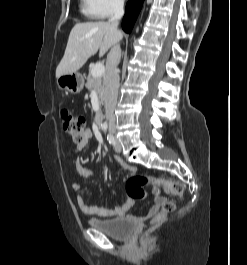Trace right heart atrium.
Returning a JSON list of instances; mask_svg holds the SVG:
<instances>
[{"label":"right heart atrium","instance_id":"d8ad5b80","mask_svg":"<svg viewBox=\"0 0 247 265\" xmlns=\"http://www.w3.org/2000/svg\"><path fill=\"white\" fill-rule=\"evenodd\" d=\"M84 12L94 19H105L118 13L122 0H82Z\"/></svg>","mask_w":247,"mask_h":265}]
</instances>
